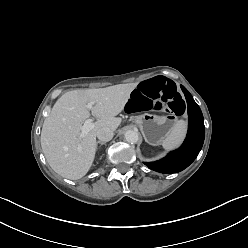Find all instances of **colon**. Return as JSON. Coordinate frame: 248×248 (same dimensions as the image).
<instances>
[{"label":"colon","mask_w":248,"mask_h":248,"mask_svg":"<svg viewBox=\"0 0 248 248\" xmlns=\"http://www.w3.org/2000/svg\"><path fill=\"white\" fill-rule=\"evenodd\" d=\"M129 113L137 110L167 109L175 114L185 111V102L176 85L163 78H155L137 86L125 104Z\"/></svg>","instance_id":"colon-1"}]
</instances>
